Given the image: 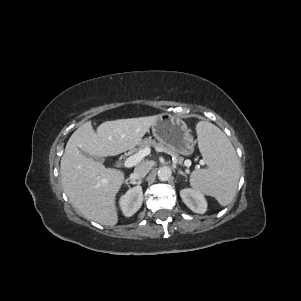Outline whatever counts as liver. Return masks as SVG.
Returning <instances> with one entry per match:
<instances>
[{"label": "liver", "mask_w": 301, "mask_h": 301, "mask_svg": "<svg viewBox=\"0 0 301 301\" xmlns=\"http://www.w3.org/2000/svg\"><path fill=\"white\" fill-rule=\"evenodd\" d=\"M157 119L158 115L106 121L97 132L86 122L69 138L60 163L61 182L70 202L87 219L102 225L117 224L115 200L125 175L82 152L107 157L134 149Z\"/></svg>", "instance_id": "1"}]
</instances>
